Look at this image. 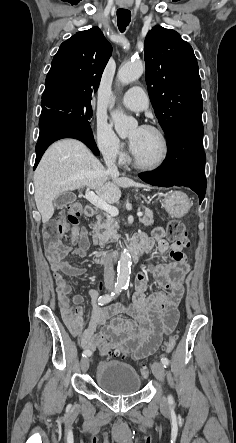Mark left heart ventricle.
I'll return each instance as SVG.
<instances>
[{
    "instance_id": "1",
    "label": "left heart ventricle",
    "mask_w": 236,
    "mask_h": 443,
    "mask_svg": "<svg viewBox=\"0 0 236 443\" xmlns=\"http://www.w3.org/2000/svg\"><path fill=\"white\" fill-rule=\"evenodd\" d=\"M138 129L132 130L131 138L137 134ZM162 146L158 136L149 129L144 128L139 135L138 145L134 151L135 155L143 162L153 163L161 155Z\"/></svg>"
}]
</instances>
